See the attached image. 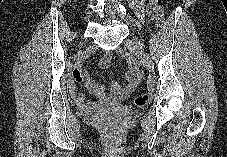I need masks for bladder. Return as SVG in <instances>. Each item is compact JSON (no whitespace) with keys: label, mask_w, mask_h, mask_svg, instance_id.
I'll list each match as a JSON object with an SVG mask.
<instances>
[{"label":"bladder","mask_w":227,"mask_h":157,"mask_svg":"<svg viewBox=\"0 0 227 157\" xmlns=\"http://www.w3.org/2000/svg\"><path fill=\"white\" fill-rule=\"evenodd\" d=\"M112 111H114V109H108V110H107V112H112Z\"/></svg>","instance_id":"31cf9c89"}]
</instances>
